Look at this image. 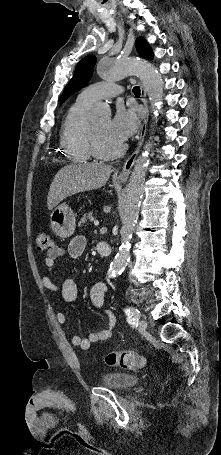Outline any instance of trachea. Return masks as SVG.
<instances>
[{
	"label": "trachea",
	"mask_w": 221,
	"mask_h": 455,
	"mask_svg": "<svg viewBox=\"0 0 221 455\" xmlns=\"http://www.w3.org/2000/svg\"><path fill=\"white\" fill-rule=\"evenodd\" d=\"M133 93H134L136 96H140V87L135 86V87L133 88Z\"/></svg>",
	"instance_id": "obj_1"
}]
</instances>
